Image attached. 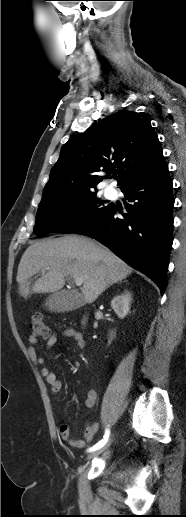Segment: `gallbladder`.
I'll return each instance as SVG.
<instances>
[{"instance_id":"obj_1","label":"gallbladder","mask_w":186,"mask_h":517,"mask_svg":"<svg viewBox=\"0 0 186 517\" xmlns=\"http://www.w3.org/2000/svg\"><path fill=\"white\" fill-rule=\"evenodd\" d=\"M83 304V299L77 297L72 291H59L52 294L46 300V306L51 311L64 312L72 310Z\"/></svg>"}]
</instances>
